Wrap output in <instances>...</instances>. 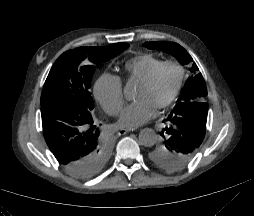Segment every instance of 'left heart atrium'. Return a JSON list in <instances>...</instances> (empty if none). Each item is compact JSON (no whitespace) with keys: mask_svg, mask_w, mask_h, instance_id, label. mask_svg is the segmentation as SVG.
<instances>
[{"mask_svg":"<svg viewBox=\"0 0 254 216\" xmlns=\"http://www.w3.org/2000/svg\"><path fill=\"white\" fill-rule=\"evenodd\" d=\"M156 113V107L146 99H138L123 110L118 124L123 128H135L143 125Z\"/></svg>","mask_w":254,"mask_h":216,"instance_id":"39dd6f15","label":"left heart atrium"}]
</instances>
